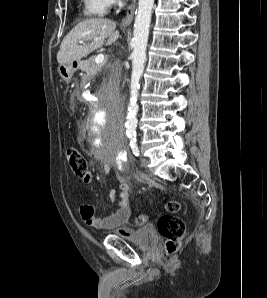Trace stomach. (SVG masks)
Segmentation results:
<instances>
[{"label":"stomach","instance_id":"obj_1","mask_svg":"<svg viewBox=\"0 0 267 298\" xmlns=\"http://www.w3.org/2000/svg\"><path fill=\"white\" fill-rule=\"evenodd\" d=\"M81 61H71L66 64H62L58 67L59 75L63 80L69 82L74 74V72L80 67Z\"/></svg>","mask_w":267,"mask_h":298}]
</instances>
